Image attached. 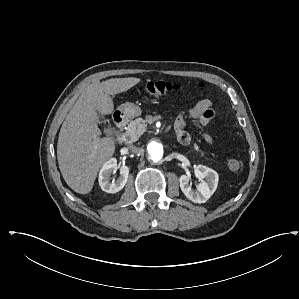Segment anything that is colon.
Listing matches in <instances>:
<instances>
[{
	"label": "colon",
	"mask_w": 299,
	"mask_h": 299,
	"mask_svg": "<svg viewBox=\"0 0 299 299\" xmlns=\"http://www.w3.org/2000/svg\"><path fill=\"white\" fill-rule=\"evenodd\" d=\"M179 89L180 86L177 84L162 80H152L141 84L138 88V91L140 93L148 94L151 96H162ZM241 166L242 163L239 159L230 158L228 160V167L231 170H239Z\"/></svg>",
	"instance_id": "1"
}]
</instances>
